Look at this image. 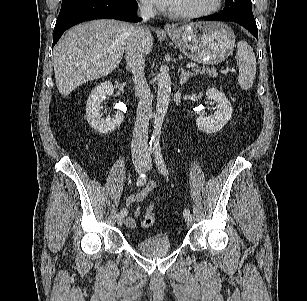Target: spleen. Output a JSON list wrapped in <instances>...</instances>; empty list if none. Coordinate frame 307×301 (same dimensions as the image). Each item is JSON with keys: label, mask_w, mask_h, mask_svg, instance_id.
<instances>
[{"label": "spleen", "mask_w": 307, "mask_h": 301, "mask_svg": "<svg viewBox=\"0 0 307 301\" xmlns=\"http://www.w3.org/2000/svg\"><path fill=\"white\" fill-rule=\"evenodd\" d=\"M238 83L243 90L252 87L256 75V58L252 47L246 41L237 44Z\"/></svg>", "instance_id": "3e777b00"}]
</instances>
